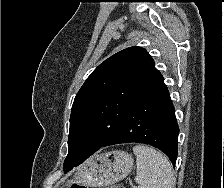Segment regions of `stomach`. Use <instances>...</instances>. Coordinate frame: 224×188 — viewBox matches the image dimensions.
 <instances>
[{
	"label": "stomach",
	"instance_id": "0dacf381",
	"mask_svg": "<svg viewBox=\"0 0 224 188\" xmlns=\"http://www.w3.org/2000/svg\"><path fill=\"white\" fill-rule=\"evenodd\" d=\"M132 156L120 150L97 154L84 162L74 178L63 181L61 188H71L74 183L85 187H104L124 179L132 170Z\"/></svg>",
	"mask_w": 224,
	"mask_h": 188
}]
</instances>
